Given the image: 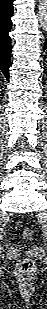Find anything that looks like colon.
Returning a JSON list of instances; mask_svg holds the SVG:
<instances>
[{
	"instance_id": "1",
	"label": "colon",
	"mask_w": 47,
	"mask_h": 309,
	"mask_svg": "<svg viewBox=\"0 0 47 309\" xmlns=\"http://www.w3.org/2000/svg\"><path fill=\"white\" fill-rule=\"evenodd\" d=\"M22 236L23 238H29L31 236V230L30 228H23L22 230ZM35 269V263L30 259H24L19 263L18 270L22 274H30Z\"/></svg>"
}]
</instances>
